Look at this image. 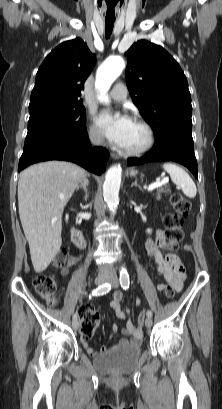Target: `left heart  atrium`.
Returning a JSON list of instances; mask_svg holds the SVG:
<instances>
[{"label":"left heart atrium","instance_id":"39dd6f15","mask_svg":"<svg viewBox=\"0 0 222 409\" xmlns=\"http://www.w3.org/2000/svg\"><path fill=\"white\" fill-rule=\"evenodd\" d=\"M133 121L127 115L114 117L109 112H102L97 118V125L115 145L123 148Z\"/></svg>","mask_w":222,"mask_h":409}]
</instances>
